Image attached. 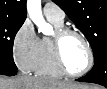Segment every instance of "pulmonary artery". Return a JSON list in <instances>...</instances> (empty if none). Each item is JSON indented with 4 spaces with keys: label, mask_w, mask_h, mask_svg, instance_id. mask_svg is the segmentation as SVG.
Here are the masks:
<instances>
[{
    "label": "pulmonary artery",
    "mask_w": 107,
    "mask_h": 89,
    "mask_svg": "<svg viewBox=\"0 0 107 89\" xmlns=\"http://www.w3.org/2000/svg\"><path fill=\"white\" fill-rule=\"evenodd\" d=\"M43 12L47 18L54 19L58 22L64 21V11L53 2H47L43 7Z\"/></svg>",
    "instance_id": "obj_1"
}]
</instances>
